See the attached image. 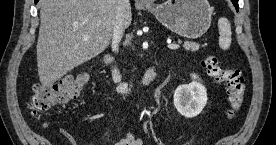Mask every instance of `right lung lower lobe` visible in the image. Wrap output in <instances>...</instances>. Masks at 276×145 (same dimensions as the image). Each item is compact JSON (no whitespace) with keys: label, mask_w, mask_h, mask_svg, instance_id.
<instances>
[{"label":"right lung lower lobe","mask_w":276,"mask_h":145,"mask_svg":"<svg viewBox=\"0 0 276 145\" xmlns=\"http://www.w3.org/2000/svg\"><path fill=\"white\" fill-rule=\"evenodd\" d=\"M39 0H35V3H37Z\"/></svg>","instance_id":"right-lung-lower-lobe-1"}]
</instances>
